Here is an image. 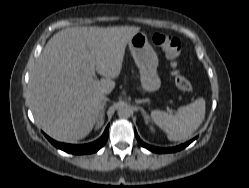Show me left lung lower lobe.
Here are the masks:
<instances>
[{
  "instance_id": "left-lung-lower-lobe-1",
  "label": "left lung lower lobe",
  "mask_w": 249,
  "mask_h": 188,
  "mask_svg": "<svg viewBox=\"0 0 249 188\" xmlns=\"http://www.w3.org/2000/svg\"><path fill=\"white\" fill-rule=\"evenodd\" d=\"M135 135H136V138L138 140V142L145 148H147L148 150L152 151V152H156V153H167V152H176V151H179L183 148H185L186 146H188L193 140L185 143V144H182L180 146H177V147H173V148H158V147H154V146H150V145H147L145 144L140 138L139 136L137 135V132L135 130Z\"/></svg>"
}]
</instances>
